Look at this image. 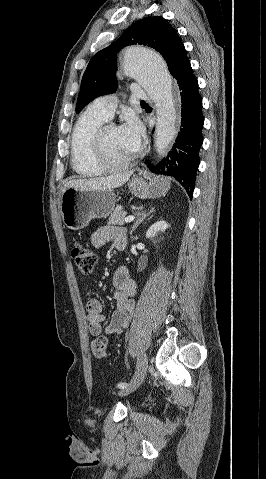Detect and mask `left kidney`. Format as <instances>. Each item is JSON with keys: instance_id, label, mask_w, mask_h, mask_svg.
Wrapping results in <instances>:
<instances>
[{"instance_id": "1", "label": "left kidney", "mask_w": 266, "mask_h": 479, "mask_svg": "<svg viewBox=\"0 0 266 479\" xmlns=\"http://www.w3.org/2000/svg\"><path fill=\"white\" fill-rule=\"evenodd\" d=\"M169 227L168 223L165 221H158L150 226V228L146 232V238L154 239L159 232H165V230Z\"/></svg>"}]
</instances>
